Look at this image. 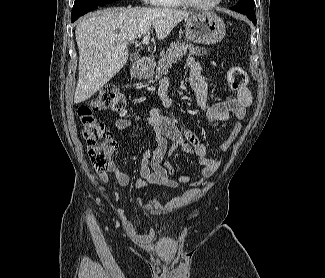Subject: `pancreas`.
Returning <instances> with one entry per match:
<instances>
[{"instance_id": "pancreas-1", "label": "pancreas", "mask_w": 325, "mask_h": 278, "mask_svg": "<svg viewBox=\"0 0 325 278\" xmlns=\"http://www.w3.org/2000/svg\"><path fill=\"white\" fill-rule=\"evenodd\" d=\"M187 51H189V55L203 56L206 54L205 48L195 47L193 44L180 41L174 42L159 60L155 79H159L163 74H166L173 64H176L178 60L187 54Z\"/></svg>"}]
</instances>
